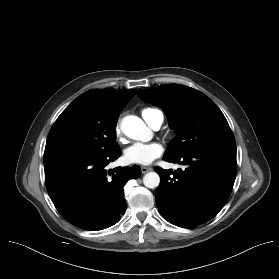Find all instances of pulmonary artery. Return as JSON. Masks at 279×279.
<instances>
[{
  "mask_svg": "<svg viewBox=\"0 0 279 279\" xmlns=\"http://www.w3.org/2000/svg\"><path fill=\"white\" fill-rule=\"evenodd\" d=\"M162 122H163V115L159 111L154 112L149 117V125L155 130L160 128Z\"/></svg>",
  "mask_w": 279,
  "mask_h": 279,
  "instance_id": "obj_1",
  "label": "pulmonary artery"
}]
</instances>
